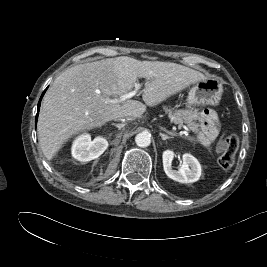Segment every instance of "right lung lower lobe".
Masks as SVG:
<instances>
[{
  "mask_svg": "<svg viewBox=\"0 0 267 267\" xmlns=\"http://www.w3.org/2000/svg\"><path fill=\"white\" fill-rule=\"evenodd\" d=\"M45 91H46V90H45ZM45 91L43 92V94H42V96H41V98H40V100H39V103H38V112H39L40 102H41V99H42V97H43ZM38 112H37V115H36V122H37Z\"/></svg>",
  "mask_w": 267,
  "mask_h": 267,
  "instance_id": "1",
  "label": "right lung lower lobe"
}]
</instances>
